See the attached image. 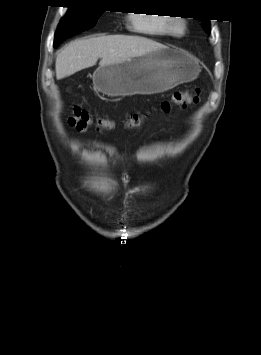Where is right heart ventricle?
Instances as JSON below:
<instances>
[{
	"label": "right heart ventricle",
	"instance_id": "right-heart-ventricle-1",
	"mask_svg": "<svg viewBox=\"0 0 261 355\" xmlns=\"http://www.w3.org/2000/svg\"><path fill=\"white\" fill-rule=\"evenodd\" d=\"M132 28L150 36H166L170 34V18L149 14H135L131 18Z\"/></svg>",
	"mask_w": 261,
	"mask_h": 355
}]
</instances>
